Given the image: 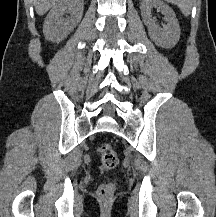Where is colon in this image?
I'll return each mask as SVG.
<instances>
[{"label": "colon", "mask_w": 216, "mask_h": 217, "mask_svg": "<svg viewBox=\"0 0 216 217\" xmlns=\"http://www.w3.org/2000/svg\"><path fill=\"white\" fill-rule=\"evenodd\" d=\"M101 166L106 170H113L119 164V158L114 147L109 143H102L98 147ZM115 186L112 183H104L97 190L98 198L102 202H110L113 198Z\"/></svg>", "instance_id": "1"}]
</instances>
